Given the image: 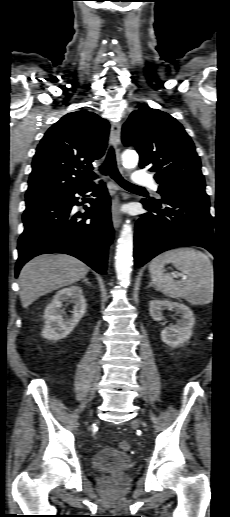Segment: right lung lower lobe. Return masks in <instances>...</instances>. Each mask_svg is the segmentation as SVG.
<instances>
[{
    "mask_svg": "<svg viewBox=\"0 0 230 517\" xmlns=\"http://www.w3.org/2000/svg\"><path fill=\"white\" fill-rule=\"evenodd\" d=\"M92 188L91 182L71 191L26 200L24 231L18 240L16 277L27 261L45 253L69 254L98 273H106L113 228L105 184L92 193L91 207H85V213L79 216L71 213L74 205H80L75 194L84 195Z\"/></svg>",
    "mask_w": 230,
    "mask_h": 517,
    "instance_id": "98d812e1",
    "label": "right lung lower lobe"
}]
</instances>
